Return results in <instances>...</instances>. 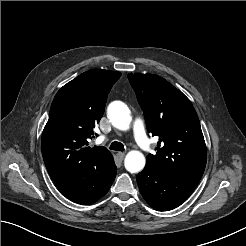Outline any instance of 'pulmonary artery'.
Here are the masks:
<instances>
[{
  "label": "pulmonary artery",
  "mask_w": 246,
  "mask_h": 246,
  "mask_svg": "<svg viewBox=\"0 0 246 246\" xmlns=\"http://www.w3.org/2000/svg\"><path fill=\"white\" fill-rule=\"evenodd\" d=\"M132 133L137 145L147 151L149 150V140L146 135L144 122L140 118H136L132 125Z\"/></svg>",
  "instance_id": "e3ab8cb5"
}]
</instances>
